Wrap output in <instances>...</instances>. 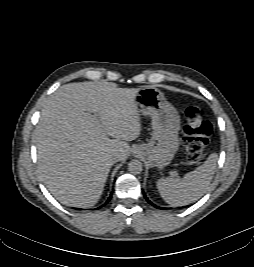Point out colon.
I'll return each instance as SVG.
<instances>
[{
    "label": "colon",
    "instance_id": "5ec220e1",
    "mask_svg": "<svg viewBox=\"0 0 254 267\" xmlns=\"http://www.w3.org/2000/svg\"><path fill=\"white\" fill-rule=\"evenodd\" d=\"M183 133L186 153L189 161L198 162L212 134V125L196 107H188L184 113Z\"/></svg>",
    "mask_w": 254,
    "mask_h": 267
}]
</instances>
